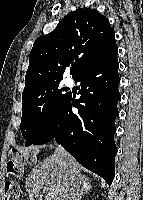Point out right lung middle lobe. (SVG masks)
Returning a JSON list of instances; mask_svg holds the SVG:
<instances>
[{
    "instance_id": "dd1d6c3e",
    "label": "right lung middle lobe",
    "mask_w": 143,
    "mask_h": 200,
    "mask_svg": "<svg viewBox=\"0 0 143 200\" xmlns=\"http://www.w3.org/2000/svg\"><path fill=\"white\" fill-rule=\"evenodd\" d=\"M60 81L46 83L22 93L20 129L26 146L34 143L45 126L61 108L69 94L63 93Z\"/></svg>"
}]
</instances>
